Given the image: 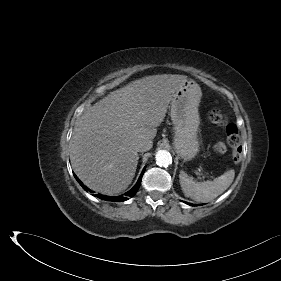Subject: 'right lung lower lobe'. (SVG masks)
Listing matches in <instances>:
<instances>
[{"instance_id": "98d812e1", "label": "right lung lower lobe", "mask_w": 281, "mask_h": 281, "mask_svg": "<svg viewBox=\"0 0 281 281\" xmlns=\"http://www.w3.org/2000/svg\"><path fill=\"white\" fill-rule=\"evenodd\" d=\"M144 171H145V168L143 169L137 183L135 184V186L128 192H126L124 194V196H118V197H115V196H105V195H100V194H96L95 196L102 199V200H106V201H113V202H122V201H126L128 200L129 197H133L136 192L138 191L139 187H140V184H141V180H142V176L144 174ZM74 177L76 178V180L78 181V183L82 186V188L85 190V191H88L89 188H87L86 186L83 185V183L80 181V179L74 174ZM91 193L92 191L89 190Z\"/></svg>"}]
</instances>
